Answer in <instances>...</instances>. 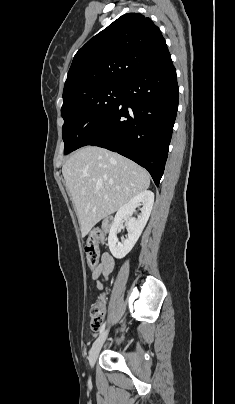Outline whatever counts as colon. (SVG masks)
I'll return each instance as SVG.
<instances>
[{
	"label": "colon",
	"instance_id": "colon-1",
	"mask_svg": "<svg viewBox=\"0 0 235 404\" xmlns=\"http://www.w3.org/2000/svg\"><path fill=\"white\" fill-rule=\"evenodd\" d=\"M105 240L104 233L101 230H92L86 239L84 251L86 260L90 268H95L99 262V245ZM90 327L94 330L99 329L104 318V304L102 302L94 304L90 310Z\"/></svg>",
	"mask_w": 235,
	"mask_h": 404
}]
</instances>
